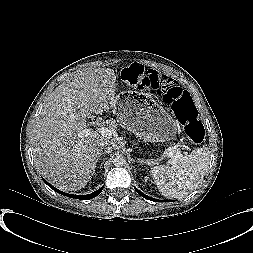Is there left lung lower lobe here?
Returning a JSON list of instances; mask_svg holds the SVG:
<instances>
[{
	"label": "left lung lower lobe",
	"instance_id": "0a47b994",
	"mask_svg": "<svg viewBox=\"0 0 253 253\" xmlns=\"http://www.w3.org/2000/svg\"><path fill=\"white\" fill-rule=\"evenodd\" d=\"M135 190H136V192H137L138 194H140L142 197H144V198H146V199H148V200H151V201H158V200H156V199H153V198H151V197H149V196L143 194L142 192H140V191H139L138 189H136V188H135Z\"/></svg>",
	"mask_w": 253,
	"mask_h": 253
}]
</instances>
